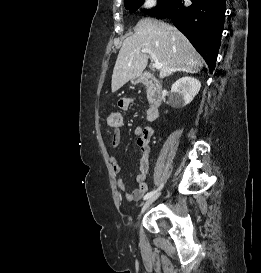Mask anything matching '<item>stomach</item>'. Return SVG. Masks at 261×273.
Segmentation results:
<instances>
[{
  "label": "stomach",
  "instance_id": "0dacf381",
  "mask_svg": "<svg viewBox=\"0 0 261 273\" xmlns=\"http://www.w3.org/2000/svg\"><path fill=\"white\" fill-rule=\"evenodd\" d=\"M141 81V78L140 77H137V78H134L133 79V82H135V83H138V82H140Z\"/></svg>",
  "mask_w": 261,
  "mask_h": 273
}]
</instances>
